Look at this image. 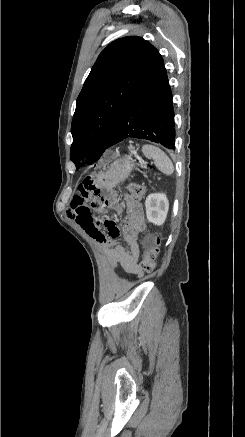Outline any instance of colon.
I'll return each instance as SVG.
<instances>
[{
	"label": "colon",
	"mask_w": 245,
	"mask_h": 437,
	"mask_svg": "<svg viewBox=\"0 0 245 437\" xmlns=\"http://www.w3.org/2000/svg\"><path fill=\"white\" fill-rule=\"evenodd\" d=\"M127 191L130 198L134 201L140 200L144 194V188L139 184H130L127 187ZM158 243H159V238L157 234H154L152 236L151 244L146 249L143 260L140 265L141 270H143L144 272H148V273L152 272L156 267V258L159 252Z\"/></svg>",
	"instance_id": "colon-1"
}]
</instances>
